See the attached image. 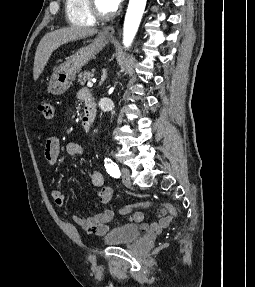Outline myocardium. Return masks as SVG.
I'll return each mask as SVG.
<instances>
[{
	"instance_id": "f54148a6",
	"label": "myocardium",
	"mask_w": 255,
	"mask_h": 287,
	"mask_svg": "<svg viewBox=\"0 0 255 287\" xmlns=\"http://www.w3.org/2000/svg\"><path fill=\"white\" fill-rule=\"evenodd\" d=\"M97 33H121V32H97ZM96 39H116V38H96ZM128 39V38H124ZM96 48H112V47H96ZM129 48H137V47H129Z\"/></svg>"
}]
</instances>
